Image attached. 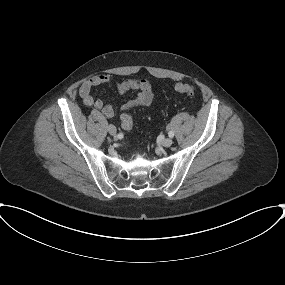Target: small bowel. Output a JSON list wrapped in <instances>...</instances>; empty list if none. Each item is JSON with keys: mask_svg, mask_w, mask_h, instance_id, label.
<instances>
[{"mask_svg": "<svg viewBox=\"0 0 285 285\" xmlns=\"http://www.w3.org/2000/svg\"><path fill=\"white\" fill-rule=\"evenodd\" d=\"M110 82L111 78L108 75H95L82 83L79 88V95L85 106L93 107L101 111L106 118L113 119L117 116V110L113 106L105 104L103 100L96 99L92 96L93 88L109 84ZM114 85L120 94H125L129 91L137 93L135 98L121 106V111L123 112L135 107H147L153 102V87L151 82L147 79L128 78L123 81L115 82Z\"/></svg>", "mask_w": 285, "mask_h": 285, "instance_id": "small-bowel-1", "label": "small bowel"}]
</instances>
